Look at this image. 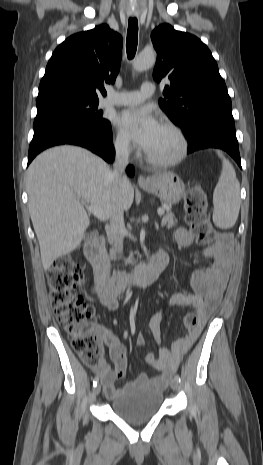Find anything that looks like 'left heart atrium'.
<instances>
[{
	"mask_svg": "<svg viewBox=\"0 0 263 465\" xmlns=\"http://www.w3.org/2000/svg\"><path fill=\"white\" fill-rule=\"evenodd\" d=\"M116 123L145 151L150 149L163 127L148 108L126 110L118 116Z\"/></svg>",
	"mask_w": 263,
	"mask_h": 465,
	"instance_id": "39dd6f15",
	"label": "left heart atrium"
}]
</instances>
